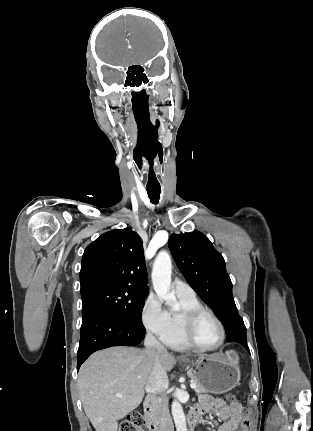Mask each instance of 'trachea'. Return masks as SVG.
<instances>
[{
	"label": "trachea",
	"instance_id": "3493384b",
	"mask_svg": "<svg viewBox=\"0 0 313 431\" xmlns=\"http://www.w3.org/2000/svg\"><path fill=\"white\" fill-rule=\"evenodd\" d=\"M148 196L150 201L153 204H157L159 202L160 199V193H161V188L159 187H146Z\"/></svg>",
	"mask_w": 313,
	"mask_h": 431
}]
</instances>
